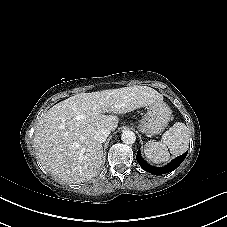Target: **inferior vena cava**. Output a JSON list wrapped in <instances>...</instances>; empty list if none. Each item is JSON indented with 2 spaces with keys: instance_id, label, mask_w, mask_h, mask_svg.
Listing matches in <instances>:
<instances>
[{
  "instance_id": "602c4592",
  "label": "inferior vena cava",
  "mask_w": 227,
  "mask_h": 227,
  "mask_svg": "<svg viewBox=\"0 0 227 227\" xmlns=\"http://www.w3.org/2000/svg\"><path fill=\"white\" fill-rule=\"evenodd\" d=\"M110 134V130L109 129H99L96 131L95 135H94V138L97 142L99 143H103L106 141L107 137L109 136Z\"/></svg>"
}]
</instances>
